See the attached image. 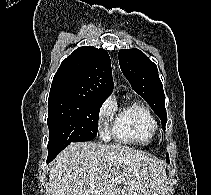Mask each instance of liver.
Returning <instances> with one entry per match:
<instances>
[{
	"mask_svg": "<svg viewBox=\"0 0 211 195\" xmlns=\"http://www.w3.org/2000/svg\"><path fill=\"white\" fill-rule=\"evenodd\" d=\"M166 180L162 161L121 144L72 143L49 170L51 195H166Z\"/></svg>",
	"mask_w": 211,
	"mask_h": 195,
	"instance_id": "obj_1",
	"label": "liver"
}]
</instances>
